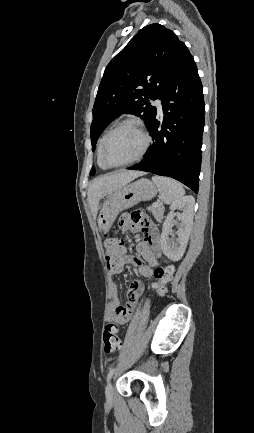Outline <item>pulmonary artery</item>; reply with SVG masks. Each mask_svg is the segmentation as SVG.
I'll use <instances>...</instances> for the list:
<instances>
[{"label":"pulmonary artery","instance_id":"pulmonary-artery-1","mask_svg":"<svg viewBox=\"0 0 254 433\" xmlns=\"http://www.w3.org/2000/svg\"><path fill=\"white\" fill-rule=\"evenodd\" d=\"M154 105L157 108L159 113H162V105H161V101L159 99H156L154 101Z\"/></svg>","mask_w":254,"mask_h":433}]
</instances>
